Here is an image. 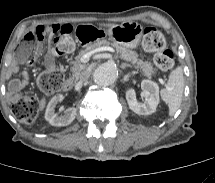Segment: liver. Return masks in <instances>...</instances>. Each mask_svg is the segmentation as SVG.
Masks as SVG:
<instances>
[{
  "label": "liver",
  "instance_id": "liver-1",
  "mask_svg": "<svg viewBox=\"0 0 215 183\" xmlns=\"http://www.w3.org/2000/svg\"><path fill=\"white\" fill-rule=\"evenodd\" d=\"M118 24H99V26H104V27H113V26H117ZM45 107V98H42L40 103H39V110H43V108Z\"/></svg>",
  "mask_w": 215,
  "mask_h": 183
}]
</instances>
